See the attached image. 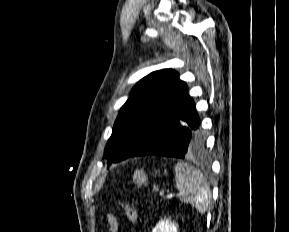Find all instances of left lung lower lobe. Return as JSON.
I'll list each match as a JSON object with an SVG mask.
<instances>
[{
	"mask_svg": "<svg viewBox=\"0 0 289 232\" xmlns=\"http://www.w3.org/2000/svg\"><path fill=\"white\" fill-rule=\"evenodd\" d=\"M204 146L205 138L199 128L195 103L188 96L173 119L129 157L158 155L184 158L202 151Z\"/></svg>",
	"mask_w": 289,
	"mask_h": 232,
	"instance_id": "left-lung-lower-lobe-1",
	"label": "left lung lower lobe"
}]
</instances>
